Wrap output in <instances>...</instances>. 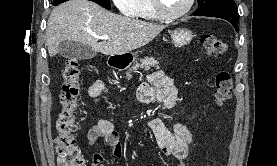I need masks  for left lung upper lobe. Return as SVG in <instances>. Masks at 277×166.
Returning <instances> with one entry per match:
<instances>
[{
    "label": "left lung upper lobe",
    "instance_id": "5c2ea615",
    "mask_svg": "<svg viewBox=\"0 0 277 166\" xmlns=\"http://www.w3.org/2000/svg\"><path fill=\"white\" fill-rule=\"evenodd\" d=\"M199 8L193 15L218 17L239 20V14L234 0H198Z\"/></svg>",
    "mask_w": 277,
    "mask_h": 166
}]
</instances>
